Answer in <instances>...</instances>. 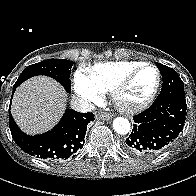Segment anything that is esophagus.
I'll use <instances>...</instances> for the list:
<instances>
[{
    "mask_svg": "<svg viewBox=\"0 0 196 196\" xmlns=\"http://www.w3.org/2000/svg\"><path fill=\"white\" fill-rule=\"evenodd\" d=\"M96 118L99 120H109L112 118V115L109 113L101 112V113L96 114Z\"/></svg>",
    "mask_w": 196,
    "mask_h": 196,
    "instance_id": "1",
    "label": "esophagus"
}]
</instances>
